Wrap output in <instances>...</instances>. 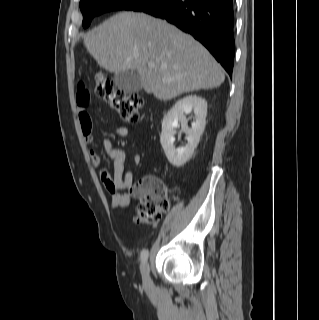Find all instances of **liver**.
I'll use <instances>...</instances> for the list:
<instances>
[{
    "mask_svg": "<svg viewBox=\"0 0 319 320\" xmlns=\"http://www.w3.org/2000/svg\"><path fill=\"white\" fill-rule=\"evenodd\" d=\"M84 45L106 71H136L143 89L160 100L225 80L222 67L191 35L144 13L112 16L84 36Z\"/></svg>",
    "mask_w": 319,
    "mask_h": 320,
    "instance_id": "6515ba94",
    "label": "liver"
}]
</instances>
